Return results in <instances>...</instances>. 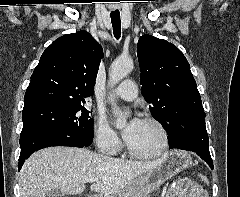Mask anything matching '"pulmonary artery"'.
I'll use <instances>...</instances> for the list:
<instances>
[{"instance_id": "e3ab8cb5", "label": "pulmonary artery", "mask_w": 240, "mask_h": 197, "mask_svg": "<svg viewBox=\"0 0 240 197\" xmlns=\"http://www.w3.org/2000/svg\"><path fill=\"white\" fill-rule=\"evenodd\" d=\"M113 95L124 100H133L138 96L137 85L133 80L127 79L113 90Z\"/></svg>"}]
</instances>
